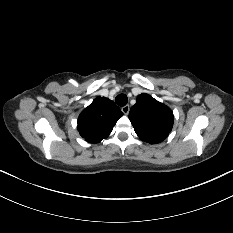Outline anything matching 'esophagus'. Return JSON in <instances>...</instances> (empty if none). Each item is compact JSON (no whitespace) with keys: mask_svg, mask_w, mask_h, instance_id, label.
<instances>
[{"mask_svg":"<svg viewBox=\"0 0 233 233\" xmlns=\"http://www.w3.org/2000/svg\"><path fill=\"white\" fill-rule=\"evenodd\" d=\"M121 111L125 114L128 115L129 111H130V106L129 105H125L121 108Z\"/></svg>","mask_w":233,"mask_h":233,"instance_id":"34e87169","label":"esophagus"}]
</instances>
